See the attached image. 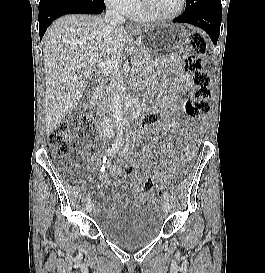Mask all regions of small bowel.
<instances>
[{
    "label": "small bowel",
    "instance_id": "1",
    "mask_svg": "<svg viewBox=\"0 0 265 273\" xmlns=\"http://www.w3.org/2000/svg\"><path fill=\"white\" fill-rule=\"evenodd\" d=\"M179 85L189 88V83H188V76L186 74L180 73L179 74ZM175 96H171L167 98L163 104L161 105V111L160 114H158L156 111H149V112H155L158 116H161V121L153 128V131L155 132H161L167 125L168 120L170 119V112L169 110L173 109L175 107ZM148 112V113H149ZM177 127V126H176ZM79 155L85 159H87L91 166L95 169H100L101 168V161L97 159L96 157L90 155L87 151L85 150H80ZM121 174V166L118 164H113L110 169H109V175L112 177H117L118 175ZM143 182V175L142 174H134L131 179V183L133 186V192L135 195L136 199L142 200L145 198V195L142 193L141 185ZM102 184H106L107 180L106 178L101 179ZM129 201L128 198L126 197H119L118 202L120 204H125ZM96 211H98V201H96ZM114 206L109 207V210H113Z\"/></svg>",
    "mask_w": 265,
    "mask_h": 273
}]
</instances>
